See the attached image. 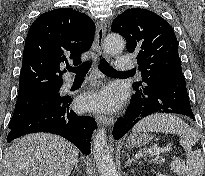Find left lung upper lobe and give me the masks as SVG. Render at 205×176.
<instances>
[{"label": "left lung upper lobe", "mask_w": 205, "mask_h": 176, "mask_svg": "<svg viewBox=\"0 0 205 176\" xmlns=\"http://www.w3.org/2000/svg\"><path fill=\"white\" fill-rule=\"evenodd\" d=\"M127 41V50L137 58L142 82L133 88L156 80L162 75L182 74L178 42L172 27L157 14L140 8L124 11L111 26Z\"/></svg>", "instance_id": "obj_1"}]
</instances>
